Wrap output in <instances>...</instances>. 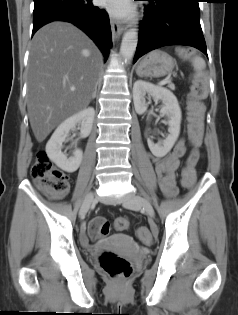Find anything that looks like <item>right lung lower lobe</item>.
Returning a JSON list of instances; mask_svg holds the SVG:
<instances>
[{"mask_svg":"<svg viewBox=\"0 0 238 315\" xmlns=\"http://www.w3.org/2000/svg\"><path fill=\"white\" fill-rule=\"evenodd\" d=\"M52 21L73 23L99 47L105 60L111 47V28L105 10L91 0H34L32 35Z\"/></svg>","mask_w":238,"mask_h":315,"instance_id":"right-lung-lower-lobe-1","label":"right lung lower lobe"}]
</instances>
